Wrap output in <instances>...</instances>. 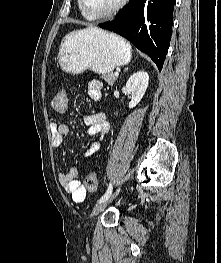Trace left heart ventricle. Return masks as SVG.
<instances>
[{"label": "left heart ventricle", "instance_id": "obj_1", "mask_svg": "<svg viewBox=\"0 0 221 263\" xmlns=\"http://www.w3.org/2000/svg\"><path fill=\"white\" fill-rule=\"evenodd\" d=\"M120 0H85L86 8L93 14L104 13L112 9Z\"/></svg>", "mask_w": 221, "mask_h": 263}]
</instances>
